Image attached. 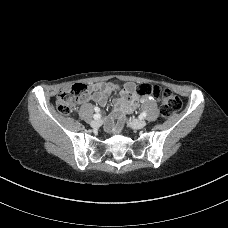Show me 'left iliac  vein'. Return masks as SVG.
<instances>
[{"mask_svg": "<svg viewBox=\"0 0 228 228\" xmlns=\"http://www.w3.org/2000/svg\"><path fill=\"white\" fill-rule=\"evenodd\" d=\"M129 123L135 129L144 128L147 124V122L144 119H130Z\"/></svg>", "mask_w": 228, "mask_h": 228, "instance_id": "left-iliac-vein-1", "label": "left iliac vein"}]
</instances>
